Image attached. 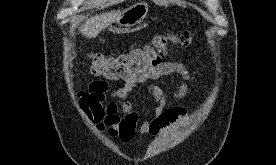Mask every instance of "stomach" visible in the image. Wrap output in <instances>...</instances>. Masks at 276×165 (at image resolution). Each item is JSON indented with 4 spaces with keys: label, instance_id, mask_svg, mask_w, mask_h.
<instances>
[{
    "label": "stomach",
    "instance_id": "1",
    "mask_svg": "<svg viewBox=\"0 0 276 165\" xmlns=\"http://www.w3.org/2000/svg\"><path fill=\"white\" fill-rule=\"evenodd\" d=\"M148 13L147 3H137L127 9L117 20L116 23L123 28H130L140 24Z\"/></svg>",
    "mask_w": 276,
    "mask_h": 165
}]
</instances>
